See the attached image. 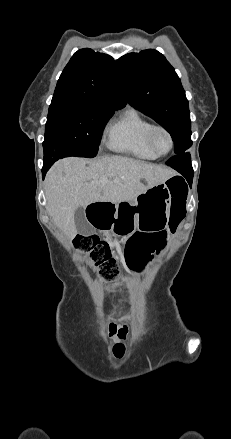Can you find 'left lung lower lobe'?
<instances>
[{
  "label": "left lung lower lobe",
  "mask_w": 231,
  "mask_h": 439,
  "mask_svg": "<svg viewBox=\"0 0 231 439\" xmlns=\"http://www.w3.org/2000/svg\"><path fill=\"white\" fill-rule=\"evenodd\" d=\"M166 164L177 170L179 173H181L186 178L188 183L190 185L192 184L193 169H192L191 157L189 153L184 152L182 154L173 156L166 162Z\"/></svg>",
  "instance_id": "0a47b994"
}]
</instances>
